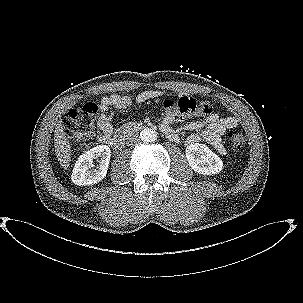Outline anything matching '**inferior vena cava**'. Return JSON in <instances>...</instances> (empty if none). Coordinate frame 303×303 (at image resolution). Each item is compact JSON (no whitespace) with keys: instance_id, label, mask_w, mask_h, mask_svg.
I'll return each mask as SVG.
<instances>
[{"instance_id":"602c4592","label":"inferior vena cava","mask_w":303,"mask_h":303,"mask_svg":"<svg viewBox=\"0 0 303 303\" xmlns=\"http://www.w3.org/2000/svg\"><path fill=\"white\" fill-rule=\"evenodd\" d=\"M140 137L135 132H130L126 135V144L128 146H135L139 143Z\"/></svg>"}]
</instances>
